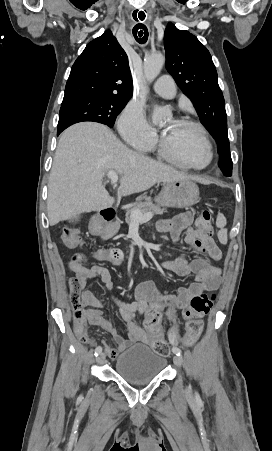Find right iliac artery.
<instances>
[{"label":"right iliac artery","instance_id":"obj_1","mask_svg":"<svg viewBox=\"0 0 272 451\" xmlns=\"http://www.w3.org/2000/svg\"><path fill=\"white\" fill-rule=\"evenodd\" d=\"M101 352H102V347L98 346L95 349V354L94 355L97 357ZM80 398H82V396H80Z\"/></svg>","mask_w":272,"mask_h":451}]
</instances>
